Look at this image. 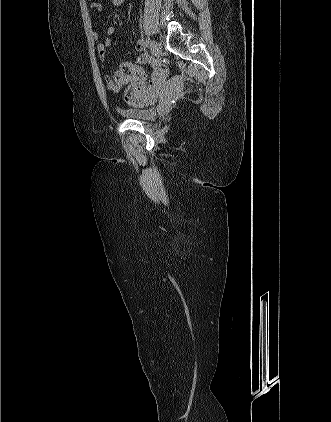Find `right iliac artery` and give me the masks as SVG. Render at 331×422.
I'll list each match as a JSON object with an SVG mask.
<instances>
[{
  "mask_svg": "<svg viewBox=\"0 0 331 422\" xmlns=\"http://www.w3.org/2000/svg\"><path fill=\"white\" fill-rule=\"evenodd\" d=\"M145 44H146V46L148 48V51H152V45L150 44V41L149 40H146L145 41Z\"/></svg>",
  "mask_w": 331,
  "mask_h": 422,
  "instance_id": "obj_1",
  "label": "right iliac artery"
}]
</instances>
